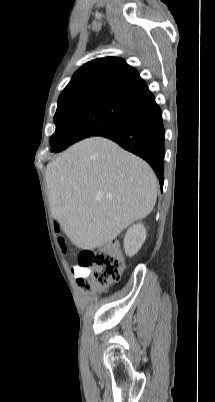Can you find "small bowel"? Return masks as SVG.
<instances>
[{"label": "small bowel", "mask_w": 215, "mask_h": 402, "mask_svg": "<svg viewBox=\"0 0 215 402\" xmlns=\"http://www.w3.org/2000/svg\"><path fill=\"white\" fill-rule=\"evenodd\" d=\"M72 273L76 279H80L87 277L90 273V270L88 268H83L79 265H76L72 268Z\"/></svg>", "instance_id": "c3829d8e"}]
</instances>
